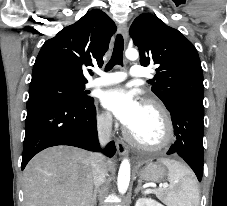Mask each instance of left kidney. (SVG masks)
I'll use <instances>...</instances> for the list:
<instances>
[{"instance_id":"left-kidney-1","label":"left kidney","mask_w":227,"mask_h":206,"mask_svg":"<svg viewBox=\"0 0 227 206\" xmlns=\"http://www.w3.org/2000/svg\"><path fill=\"white\" fill-rule=\"evenodd\" d=\"M135 206H163V205L151 198H139L136 201Z\"/></svg>"}]
</instances>
